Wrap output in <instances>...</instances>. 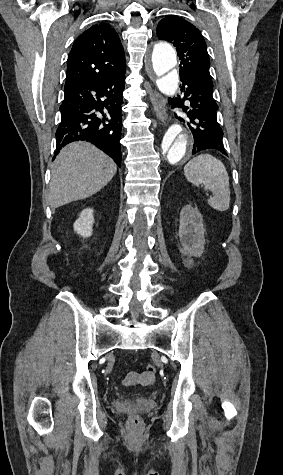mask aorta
Segmentation results:
<instances>
[{
	"instance_id": "1",
	"label": "aorta",
	"mask_w": 283,
	"mask_h": 475,
	"mask_svg": "<svg viewBox=\"0 0 283 475\" xmlns=\"http://www.w3.org/2000/svg\"><path fill=\"white\" fill-rule=\"evenodd\" d=\"M148 65L158 77L159 90L174 96L178 89V74L172 72L177 64L174 48L165 42L154 45ZM193 138L190 132L181 124L174 123L166 131L160 142L158 155L162 166H174L186 160L192 151Z\"/></svg>"
}]
</instances>
